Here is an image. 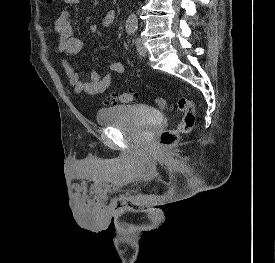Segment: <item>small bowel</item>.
Masks as SVG:
<instances>
[{"instance_id": "1", "label": "small bowel", "mask_w": 275, "mask_h": 263, "mask_svg": "<svg viewBox=\"0 0 275 263\" xmlns=\"http://www.w3.org/2000/svg\"><path fill=\"white\" fill-rule=\"evenodd\" d=\"M69 4H77L80 0H64ZM116 19V12L110 10L101 18L103 27L111 26ZM54 30L57 32L58 46L56 49L60 57L61 65L65 71L66 78L77 94L98 95L104 93L112 84L115 77L124 72V65L121 62H113L111 71L106 75H99L95 71L89 73V80L81 79L80 73L70 64L63 55H76L81 52L84 42L81 38L74 35L72 18L67 11H62L54 23Z\"/></svg>"}]
</instances>
